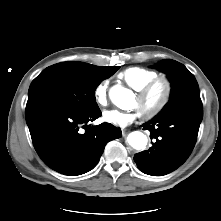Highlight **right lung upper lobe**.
Wrapping results in <instances>:
<instances>
[{"mask_svg": "<svg viewBox=\"0 0 221 221\" xmlns=\"http://www.w3.org/2000/svg\"><path fill=\"white\" fill-rule=\"evenodd\" d=\"M73 65L80 67V68H84V69H88V70H98L104 67H99V66H95V65H91L88 63H83V62H70Z\"/></svg>", "mask_w": 221, "mask_h": 221, "instance_id": "right-lung-upper-lobe-1", "label": "right lung upper lobe"}]
</instances>
